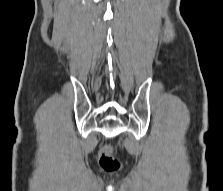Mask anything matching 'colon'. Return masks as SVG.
<instances>
[{
    "label": "colon",
    "instance_id": "obj_1",
    "mask_svg": "<svg viewBox=\"0 0 223 191\" xmlns=\"http://www.w3.org/2000/svg\"><path fill=\"white\" fill-rule=\"evenodd\" d=\"M111 151V148H107L100 158V165L101 168L108 173L115 172L119 169L120 163L114 159L112 156H110L109 152Z\"/></svg>",
    "mask_w": 223,
    "mask_h": 191
}]
</instances>
